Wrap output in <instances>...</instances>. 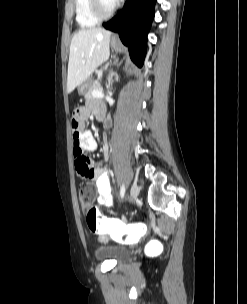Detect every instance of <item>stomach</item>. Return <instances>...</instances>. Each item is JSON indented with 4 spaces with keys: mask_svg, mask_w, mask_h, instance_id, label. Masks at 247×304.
Returning a JSON list of instances; mask_svg holds the SVG:
<instances>
[{
    "mask_svg": "<svg viewBox=\"0 0 247 304\" xmlns=\"http://www.w3.org/2000/svg\"><path fill=\"white\" fill-rule=\"evenodd\" d=\"M112 46H113L114 48H117V45H116V42H115V41H112Z\"/></svg>",
    "mask_w": 247,
    "mask_h": 304,
    "instance_id": "stomach-1",
    "label": "stomach"
}]
</instances>
